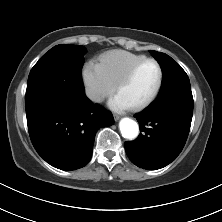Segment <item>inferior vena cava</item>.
Returning a JSON list of instances; mask_svg holds the SVG:
<instances>
[{
	"instance_id": "602c4592",
	"label": "inferior vena cava",
	"mask_w": 222,
	"mask_h": 222,
	"mask_svg": "<svg viewBox=\"0 0 222 222\" xmlns=\"http://www.w3.org/2000/svg\"><path fill=\"white\" fill-rule=\"evenodd\" d=\"M87 96L92 101H95V102H100L102 100V97L98 93H96V92H94L92 90H87Z\"/></svg>"
}]
</instances>
